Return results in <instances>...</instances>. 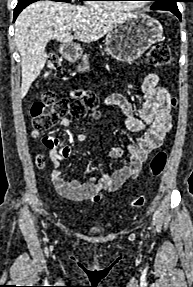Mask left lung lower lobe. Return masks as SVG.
Wrapping results in <instances>:
<instances>
[{"mask_svg":"<svg viewBox=\"0 0 193 287\" xmlns=\"http://www.w3.org/2000/svg\"><path fill=\"white\" fill-rule=\"evenodd\" d=\"M168 11L172 12L173 14H175L181 20V14H180L178 8L168 9Z\"/></svg>","mask_w":193,"mask_h":287,"instance_id":"left-lung-lower-lobe-1","label":"left lung lower lobe"}]
</instances>
